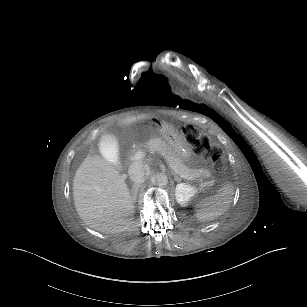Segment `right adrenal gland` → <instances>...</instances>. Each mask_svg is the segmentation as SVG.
Segmentation results:
<instances>
[{
    "mask_svg": "<svg viewBox=\"0 0 307 307\" xmlns=\"http://www.w3.org/2000/svg\"><path fill=\"white\" fill-rule=\"evenodd\" d=\"M136 192L132 191L131 201L134 202L136 200Z\"/></svg>",
    "mask_w": 307,
    "mask_h": 307,
    "instance_id": "1",
    "label": "right adrenal gland"
}]
</instances>
